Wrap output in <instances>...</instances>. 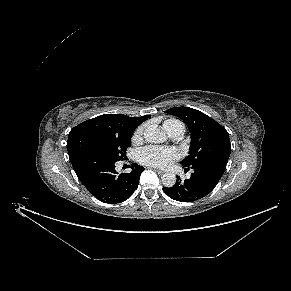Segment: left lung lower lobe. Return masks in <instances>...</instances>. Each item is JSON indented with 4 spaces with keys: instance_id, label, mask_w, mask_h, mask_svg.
Masks as SVG:
<instances>
[{
    "instance_id": "left-lung-lower-lobe-1",
    "label": "left lung lower lobe",
    "mask_w": 291,
    "mask_h": 291,
    "mask_svg": "<svg viewBox=\"0 0 291 291\" xmlns=\"http://www.w3.org/2000/svg\"><path fill=\"white\" fill-rule=\"evenodd\" d=\"M188 168L193 170L189 179L181 181L177 177L173 187L163 188L165 194L176 201L193 202L207 196L221 179L226 163L201 162Z\"/></svg>"
}]
</instances>
